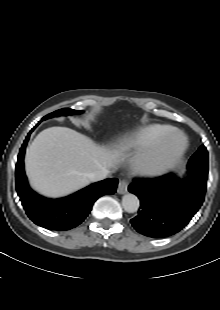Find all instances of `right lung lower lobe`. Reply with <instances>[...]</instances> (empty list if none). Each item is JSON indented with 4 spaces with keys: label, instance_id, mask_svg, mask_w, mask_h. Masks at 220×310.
<instances>
[{
    "label": "right lung lower lobe",
    "instance_id": "1",
    "mask_svg": "<svg viewBox=\"0 0 220 310\" xmlns=\"http://www.w3.org/2000/svg\"><path fill=\"white\" fill-rule=\"evenodd\" d=\"M30 133L19 151L15 170L16 190L25 212L35 224L49 230L65 231L75 228L88 216L99 197L116 192L118 179H105L65 198L48 199L38 195L29 187L24 172V153Z\"/></svg>",
    "mask_w": 220,
    "mask_h": 310
}]
</instances>
